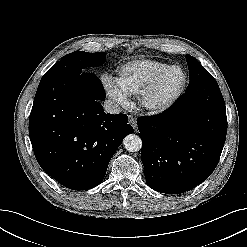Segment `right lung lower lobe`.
I'll return each mask as SVG.
<instances>
[{"mask_svg":"<svg viewBox=\"0 0 247 247\" xmlns=\"http://www.w3.org/2000/svg\"><path fill=\"white\" fill-rule=\"evenodd\" d=\"M100 80L81 70L43 76L29 118L41 168L73 190L99 185L123 138L133 133L125 114L105 113Z\"/></svg>","mask_w":247,"mask_h":247,"instance_id":"right-lung-lower-lobe-1","label":"right lung lower lobe"}]
</instances>
